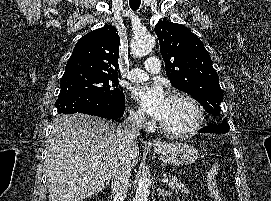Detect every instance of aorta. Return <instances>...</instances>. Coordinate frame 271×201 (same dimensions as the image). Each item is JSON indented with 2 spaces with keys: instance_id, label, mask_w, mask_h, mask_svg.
<instances>
[{
  "instance_id": "obj_1",
  "label": "aorta",
  "mask_w": 271,
  "mask_h": 201,
  "mask_svg": "<svg viewBox=\"0 0 271 201\" xmlns=\"http://www.w3.org/2000/svg\"><path fill=\"white\" fill-rule=\"evenodd\" d=\"M155 37L150 34L135 35L131 40V53L136 58H141L149 54L155 47ZM150 181L143 176L138 183L133 201H148Z\"/></svg>"
}]
</instances>
